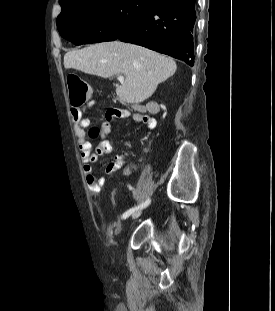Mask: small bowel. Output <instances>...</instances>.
Instances as JSON below:
<instances>
[{
  "label": "small bowel",
  "mask_w": 275,
  "mask_h": 311,
  "mask_svg": "<svg viewBox=\"0 0 275 311\" xmlns=\"http://www.w3.org/2000/svg\"><path fill=\"white\" fill-rule=\"evenodd\" d=\"M90 106L91 104H88L86 107ZM113 111L116 121L118 119H124L130 116V112L126 109H115ZM72 116L75 122V134L79 144L80 160L82 162V170L84 173L87 188L91 193H98L102 189V186L104 184V178L95 176L91 163L97 161L100 156L111 153L113 149V142L110 139L109 135L112 125L116 121L111 122L106 118L107 121L103 126V139L94 149H92L85 138V127L87 126L88 121L86 118H84L81 109L73 108ZM132 118L135 122L142 123L143 126L148 130L154 129L157 124L155 118L141 114L139 112H135L132 115ZM130 145V141L127 140L124 142L125 147H129ZM123 162V155H117L114 160L107 164L106 172L111 175L115 174L117 170L122 166Z\"/></svg>",
  "instance_id": "1"
}]
</instances>
